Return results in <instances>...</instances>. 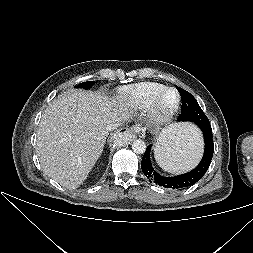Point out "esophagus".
<instances>
[{"instance_id": "esophagus-1", "label": "esophagus", "mask_w": 253, "mask_h": 253, "mask_svg": "<svg viewBox=\"0 0 253 253\" xmlns=\"http://www.w3.org/2000/svg\"><path fill=\"white\" fill-rule=\"evenodd\" d=\"M141 131V128L139 126H133L131 128H123L121 131H119V134H128L135 138L134 133H139Z\"/></svg>"}]
</instances>
